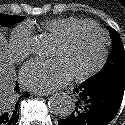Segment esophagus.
I'll list each match as a JSON object with an SVG mask.
<instances>
[{
	"instance_id": "obj_1",
	"label": "esophagus",
	"mask_w": 125,
	"mask_h": 125,
	"mask_svg": "<svg viewBox=\"0 0 125 125\" xmlns=\"http://www.w3.org/2000/svg\"><path fill=\"white\" fill-rule=\"evenodd\" d=\"M35 94L39 96H48L51 92H35Z\"/></svg>"
}]
</instances>
